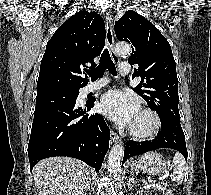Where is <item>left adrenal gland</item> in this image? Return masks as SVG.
Masks as SVG:
<instances>
[{"instance_id": "left-adrenal-gland-1", "label": "left adrenal gland", "mask_w": 211, "mask_h": 195, "mask_svg": "<svg viewBox=\"0 0 211 195\" xmlns=\"http://www.w3.org/2000/svg\"><path fill=\"white\" fill-rule=\"evenodd\" d=\"M132 183L133 184L135 183V179H134V177L130 176L128 179V188H131Z\"/></svg>"}]
</instances>
